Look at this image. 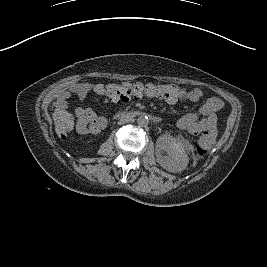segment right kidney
Instances as JSON below:
<instances>
[{"label": "right kidney", "instance_id": "ca27d5eb", "mask_svg": "<svg viewBox=\"0 0 267 267\" xmlns=\"http://www.w3.org/2000/svg\"><path fill=\"white\" fill-rule=\"evenodd\" d=\"M93 141V138H90L89 140H88V143H91Z\"/></svg>", "mask_w": 267, "mask_h": 267}]
</instances>
